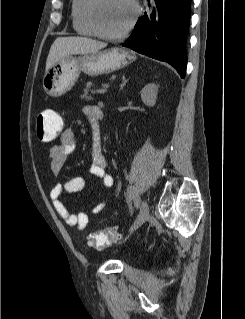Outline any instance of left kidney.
I'll return each instance as SVG.
<instances>
[{
	"label": "left kidney",
	"instance_id": "obj_1",
	"mask_svg": "<svg viewBox=\"0 0 245 319\" xmlns=\"http://www.w3.org/2000/svg\"><path fill=\"white\" fill-rule=\"evenodd\" d=\"M157 94V85H155L154 83H149L145 85V87L141 91L142 102L149 107H153L156 103Z\"/></svg>",
	"mask_w": 245,
	"mask_h": 319
}]
</instances>
